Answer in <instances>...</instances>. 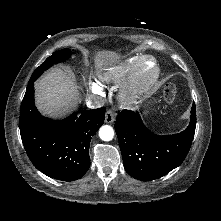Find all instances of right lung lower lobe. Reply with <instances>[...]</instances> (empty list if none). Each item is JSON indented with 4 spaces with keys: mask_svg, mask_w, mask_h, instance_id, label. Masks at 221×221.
Instances as JSON below:
<instances>
[{
    "mask_svg": "<svg viewBox=\"0 0 221 221\" xmlns=\"http://www.w3.org/2000/svg\"><path fill=\"white\" fill-rule=\"evenodd\" d=\"M105 107L73 113L60 121L43 117L34 104V82L27 86L20 109L21 139L33 165L45 175L74 181L90 165L91 137L103 125Z\"/></svg>",
    "mask_w": 221,
    "mask_h": 221,
    "instance_id": "1",
    "label": "right lung lower lobe"
}]
</instances>
